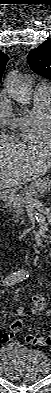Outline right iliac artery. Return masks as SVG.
<instances>
[{"label": "right iliac artery", "mask_w": 51, "mask_h": 393, "mask_svg": "<svg viewBox=\"0 0 51 393\" xmlns=\"http://www.w3.org/2000/svg\"><path fill=\"white\" fill-rule=\"evenodd\" d=\"M28 276H29V274L25 270L14 272L5 278L4 285L11 286L17 282L22 281L23 279H26Z\"/></svg>", "instance_id": "1"}]
</instances>
